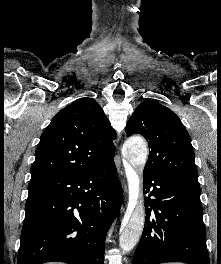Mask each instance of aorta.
Returning a JSON list of instances; mask_svg holds the SVG:
<instances>
[{
    "mask_svg": "<svg viewBox=\"0 0 221 264\" xmlns=\"http://www.w3.org/2000/svg\"><path fill=\"white\" fill-rule=\"evenodd\" d=\"M122 152L135 170H143L148 155L147 143L143 139L138 137L128 139L123 145ZM129 191L135 199V206L121 230L120 248L123 253L131 251L137 245L145 223L143 187L138 175L130 180Z\"/></svg>",
    "mask_w": 221,
    "mask_h": 264,
    "instance_id": "aorta-1",
    "label": "aorta"
}]
</instances>
